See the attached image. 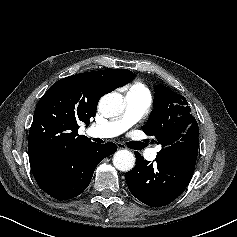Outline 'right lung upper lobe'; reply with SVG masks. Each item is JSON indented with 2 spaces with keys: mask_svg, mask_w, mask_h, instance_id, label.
<instances>
[{
  "mask_svg": "<svg viewBox=\"0 0 237 237\" xmlns=\"http://www.w3.org/2000/svg\"><path fill=\"white\" fill-rule=\"evenodd\" d=\"M129 70L108 69L76 74L54 83L39 100L28 138L30 165L87 142L79 123L95 117L103 93L125 85Z\"/></svg>",
  "mask_w": 237,
  "mask_h": 237,
  "instance_id": "1",
  "label": "right lung upper lobe"
}]
</instances>
